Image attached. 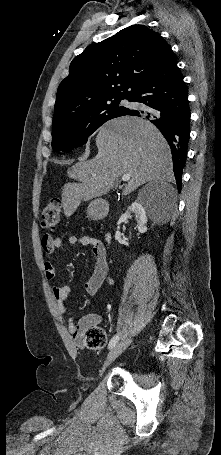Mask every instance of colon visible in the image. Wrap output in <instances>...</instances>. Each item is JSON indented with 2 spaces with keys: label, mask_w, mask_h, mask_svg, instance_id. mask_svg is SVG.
<instances>
[{
  "label": "colon",
  "mask_w": 221,
  "mask_h": 455,
  "mask_svg": "<svg viewBox=\"0 0 221 455\" xmlns=\"http://www.w3.org/2000/svg\"><path fill=\"white\" fill-rule=\"evenodd\" d=\"M62 202L60 198L51 199L42 210V225L47 229H55L59 223ZM85 344L90 349H101L106 344V335L102 328L90 326L85 332Z\"/></svg>",
  "instance_id": "obj_1"
}]
</instances>
